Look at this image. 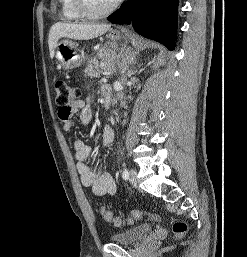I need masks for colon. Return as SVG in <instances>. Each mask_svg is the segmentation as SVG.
<instances>
[{"label": "colon", "instance_id": "5ec220e1", "mask_svg": "<svg viewBox=\"0 0 247 257\" xmlns=\"http://www.w3.org/2000/svg\"><path fill=\"white\" fill-rule=\"evenodd\" d=\"M56 103L60 107V110H67L72 103H74L79 95L80 92L77 87L65 82L59 81L56 83ZM100 213L103 219L111 223L116 227H120L125 223L134 224L138 222L141 218V214L138 211L130 212L128 218L126 220L117 217L113 214L112 211L105 209L103 207L100 208ZM188 230L187 224L182 220H174L172 223V231L176 237L180 238L186 234Z\"/></svg>", "mask_w": 247, "mask_h": 257}]
</instances>
